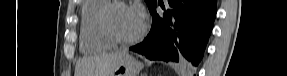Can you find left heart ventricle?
Returning <instances> with one entry per match:
<instances>
[{
    "label": "left heart ventricle",
    "mask_w": 287,
    "mask_h": 76,
    "mask_svg": "<svg viewBox=\"0 0 287 76\" xmlns=\"http://www.w3.org/2000/svg\"><path fill=\"white\" fill-rule=\"evenodd\" d=\"M112 23L116 31L123 37L137 35L143 26V22L133 12L132 7H118L114 11Z\"/></svg>",
    "instance_id": "left-heart-ventricle-1"
}]
</instances>
